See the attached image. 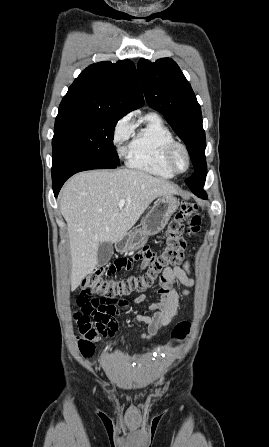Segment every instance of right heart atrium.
<instances>
[{
    "label": "right heart atrium",
    "instance_id": "obj_1",
    "mask_svg": "<svg viewBox=\"0 0 269 447\" xmlns=\"http://www.w3.org/2000/svg\"><path fill=\"white\" fill-rule=\"evenodd\" d=\"M134 130V123L130 114L119 118L112 131V143L119 155L124 153V146Z\"/></svg>",
    "mask_w": 269,
    "mask_h": 447
}]
</instances>
